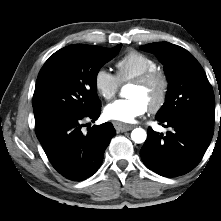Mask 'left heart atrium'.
<instances>
[{
    "label": "left heart atrium",
    "instance_id": "left-heart-atrium-1",
    "mask_svg": "<svg viewBox=\"0 0 221 221\" xmlns=\"http://www.w3.org/2000/svg\"><path fill=\"white\" fill-rule=\"evenodd\" d=\"M147 111V105L139 98L116 100L104 109L105 116L114 121L131 123Z\"/></svg>",
    "mask_w": 221,
    "mask_h": 221
}]
</instances>
